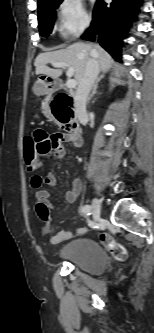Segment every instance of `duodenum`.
<instances>
[{"mask_svg":"<svg viewBox=\"0 0 154 333\" xmlns=\"http://www.w3.org/2000/svg\"><path fill=\"white\" fill-rule=\"evenodd\" d=\"M48 88L56 92L62 88V85L59 81L55 80V81H51L49 83ZM70 99L72 101L71 106H70V108H71L73 105V98L70 97ZM70 108L68 109V108L64 107L61 115L68 116V111H70ZM52 113H53V115L58 116V111H57L56 107H54V106L52 107ZM68 126L72 128L71 134L75 137H78L79 136V121L77 119H71V120H69Z\"/></svg>","mask_w":154,"mask_h":333,"instance_id":"obj_1","label":"duodenum"}]
</instances>
